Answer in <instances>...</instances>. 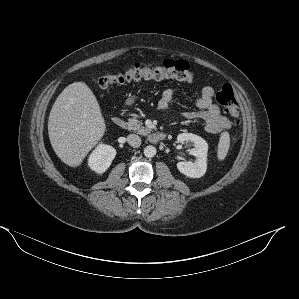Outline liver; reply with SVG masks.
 Returning <instances> with one entry per match:
<instances>
[{"mask_svg":"<svg viewBox=\"0 0 299 299\" xmlns=\"http://www.w3.org/2000/svg\"><path fill=\"white\" fill-rule=\"evenodd\" d=\"M106 130L98 101L84 82L68 85L57 97L48 120V134L58 158L79 166Z\"/></svg>","mask_w":299,"mask_h":299,"instance_id":"6515ba94","label":"liver"}]
</instances>
